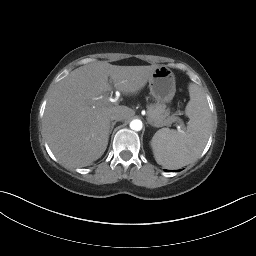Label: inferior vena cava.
<instances>
[{
	"instance_id": "obj_1",
	"label": "inferior vena cava",
	"mask_w": 256,
	"mask_h": 256,
	"mask_svg": "<svg viewBox=\"0 0 256 256\" xmlns=\"http://www.w3.org/2000/svg\"><path fill=\"white\" fill-rule=\"evenodd\" d=\"M110 119L115 120V121H121V120H123V117L120 113L114 112L111 114Z\"/></svg>"
}]
</instances>
